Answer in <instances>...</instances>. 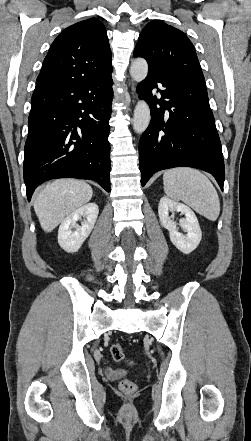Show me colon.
Returning <instances> with one entry per match:
<instances>
[{"label": "colon", "instance_id": "obj_1", "mask_svg": "<svg viewBox=\"0 0 251 441\" xmlns=\"http://www.w3.org/2000/svg\"><path fill=\"white\" fill-rule=\"evenodd\" d=\"M110 354L114 361L120 362L124 359L123 347L119 343L112 344ZM119 388L124 393H133L136 390V384L129 379H124L119 383Z\"/></svg>", "mask_w": 251, "mask_h": 441}]
</instances>
